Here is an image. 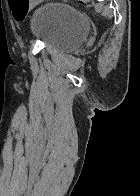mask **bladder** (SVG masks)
I'll return each mask as SVG.
<instances>
[{
	"instance_id": "1",
	"label": "bladder",
	"mask_w": 140,
	"mask_h": 196,
	"mask_svg": "<svg viewBox=\"0 0 140 196\" xmlns=\"http://www.w3.org/2000/svg\"><path fill=\"white\" fill-rule=\"evenodd\" d=\"M32 33L48 48L73 52L86 40L88 21L83 12L66 3L46 4L36 9Z\"/></svg>"
}]
</instances>
